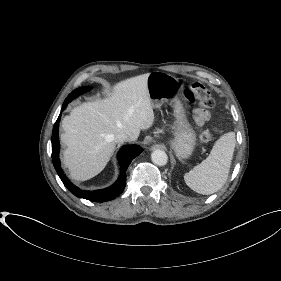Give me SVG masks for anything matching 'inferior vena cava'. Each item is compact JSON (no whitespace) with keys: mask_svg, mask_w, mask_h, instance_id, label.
Listing matches in <instances>:
<instances>
[{"mask_svg":"<svg viewBox=\"0 0 281 281\" xmlns=\"http://www.w3.org/2000/svg\"><path fill=\"white\" fill-rule=\"evenodd\" d=\"M114 140L116 142H124V141H129L130 137L124 132H119L115 135Z\"/></svg>","mask_w":281,"mask_h":281,"instance_id":"602c4592","label":"inferior vena cava"}]
</instances>
